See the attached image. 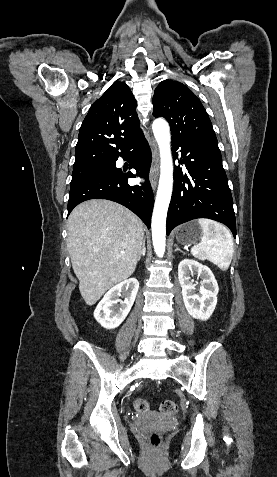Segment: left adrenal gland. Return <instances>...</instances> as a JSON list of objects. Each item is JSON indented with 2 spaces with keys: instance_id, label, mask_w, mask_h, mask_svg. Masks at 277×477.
Here are the masks:
<instances>
[{
  "instance_id": "left-adrenal-gland-1",
  "label": "left adrenal gland",
  "mask_w": 277,
  "mask_h": 477,
  "mask_svg": "<svg viewBox=\"0 0 277 477\" xmlns=\"http://www.w3.org/2000/svg\"><path fill=\"white\" fill-rule=\"evenodd\" d=\"M174 246H175V250H174V252H177V251H179V252H181V253H183V254H184V252H183V251H182V250H181V249L178 247V245H176V244H175Z\"/></svg>"
}]
</instances>
